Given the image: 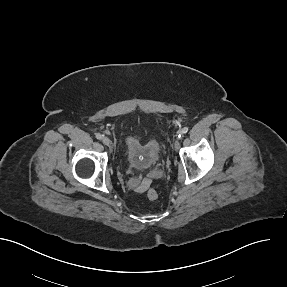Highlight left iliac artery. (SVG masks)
Wrapping results in <instances>:
<instances>
[{"mask_svg":"<svg viewBox=\"0 0 287 287\" xmlns=\"http://www.w3.org/2000/svg\"><path fill=\"white\" fill-rule=\"evenodd\" d=\"M188 132V127L182 128V130L179 131V137H181L183 134Z\"/></svg>","mask_w":287,"mask_h":287,"instance_id":"left-iliac-artery-1","label":"left iliac artery"}]
</instances>
